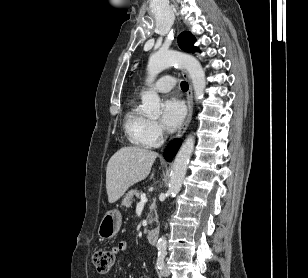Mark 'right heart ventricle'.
Returning a JSON list of instances; mask_svg holds the SVG:
<instances>
[{"label":"right heart ventricle","instance_id":"e07e8e85","mask_svg":"<svg viewBox=\"0 0 308 278\" xmlns=\"http://www.w3.org/2000/svg\"><path fill=\"white\" fill-rule=\"evenodd\" d=\"M149 120L140 112L135 100L129 103L124 117V129L131 143L137 146H148L146 132Z\"/></svg>","mask_w":308,"mask_h":278}]
</instances>
